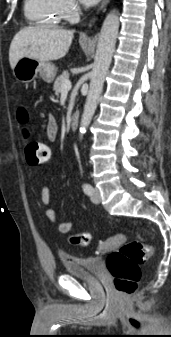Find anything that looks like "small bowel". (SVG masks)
Returning <instances> with one entry per match:
<instances>
[{
	"mask_svg": "<svg viewBox=\"0 0 171 337\" xmlns=\"http://www.w3.org/2000/svg\"><path fill=\"white\" fill-rule=\"evenodd\" d=\"M46 136L50 141L57 139L59 134V128L56 119L53 116L47 118L45 124ZM41 201L45 206V215L49 221L57 226V230L61 233H68L74 225L75 213L72 214V219L66 222H58L56 212L50 207V189L48 186L41 188Z\"/></svg>",
	"mask_w": 171,
	"mask_h": 337,
	"instance_id": "c3829d8e",
	"label": "small bowel"
}]
</instances>
